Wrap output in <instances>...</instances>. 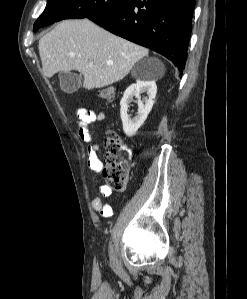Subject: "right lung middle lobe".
I'll list each match as a JSON object with an SVG mask.
<instances>
[{
    "mask_svg": "<svg viewBox=\"0 0 247 299\" xmlns=\"http://www.w3.org/2000/svg\"><path fill=\"white\" fill-rule=\"evenodd\" d=\"M126 0H48L41 16L34 23V31L62 19L90 18L107 12Z\"/></svg>",
    "mask_w": 247,
    "mask_h": 299,
    "instance_id": "right-lung-middle-lobe-1",
    "label": "right lung middle lobe"
}]
</instances>
